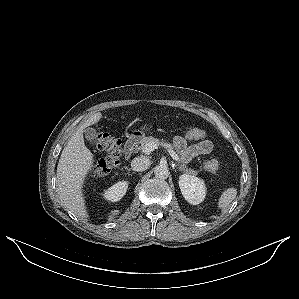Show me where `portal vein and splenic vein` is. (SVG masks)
<instances>
[{"label": "portal vein and splenic vein", "mask_w": 299, "mask_h": 299, "mask_svg": "<svg viewBox=\"0 0 299 299\" xmlns=\"http://www.w3.org/2000/svg\"><path fill=\"white\" fill-rule=\"evenodd\" d=\"M166 147H168V146H166ZM157 148H158V145H157V144H155V143H148V144H146L145 147L142 149V152L145 153V154H150L152 151H154V150L157 149ZM169 153H170L171 157H172L175 161L179 162V156L176 154V152H175L174 150L169 149Z\"/></svg>", "instance_id": "portal-vein-and-splenic-vein-1"}]
</instances>
